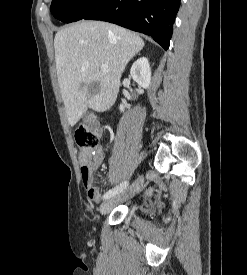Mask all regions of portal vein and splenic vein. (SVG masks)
<instances>
[{
  "mask_svg": "<svg viewBox=\"0 0 247 275\" xmlns=\"http://www.w3.org/2000/svg\"><path fill=\"white\" fill-rule=\"evenodd\" d=\"M100 68H101V70H102L103 72H108V71H109L107 65H104V64H103V65L100 66Z\"/></svg>",
  "mask_w": 247,
  "mask_h": 275,
  "instance_id": "1",
  "label": "portal vein and splenic vein"
}]
</instances>
